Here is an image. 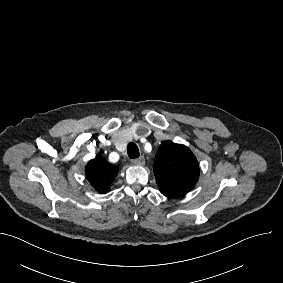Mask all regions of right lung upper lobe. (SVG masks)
Instances as JSON below:
<instances>
[{
	"label": "right lung upper lobe",
	"instance_id": "obj_1",
	"mask_svg": "<svg viewBox=\"0 0 283 283\" xmlns=\"http://www.w3.org/2000/svg\"><path fill=\"white\" fill-rule=\"evenodd\" d=\"M86 177L96 191L107 193L114 178L118 174V168L108 163L101 154L89 161L85 169Z\"/></svg>",
	"mask_w": 283,
	"mask_h": 283
}]
</instances>
